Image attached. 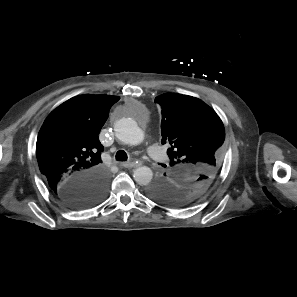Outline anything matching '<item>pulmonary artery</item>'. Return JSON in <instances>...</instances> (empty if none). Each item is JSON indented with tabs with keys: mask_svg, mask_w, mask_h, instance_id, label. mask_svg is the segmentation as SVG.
<instances>
[{
	"mask_svg": "<svg viewBox=\"0 0 297 297\" xmlns=\"http://www.w3.org/2000/svg\"><path fill=\"white\" fill-rule=\"evenodd\" d=\"M126 140V139H124ZM146 151L147 153L155 160L157 161H163L164 156H163V152L160 148L155 147V146H151V145H146Z\"/></svg>",
	"mask_w": 297,
	"mask_h": 297,
	"instance_id": "e3ab8cb5",
	"label": "pulmonary artery"
}]
</instances>
